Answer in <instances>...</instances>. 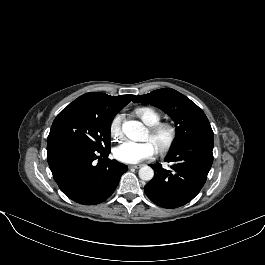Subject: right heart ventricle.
Instances as JSON below:
<instances>
[{"mask_svg": "<svg viewBox=\"0 0 265 265\" xmlns=\"http://www.w3.org/2000/svg\"><path fill=\"white\" fill-rule=\"evenodd\" d=\"M138 117L147 125L154 126L161 120V114L151 107H138L135 110Z\"/></svg>", "mask_w": 265, "mask_h": 265, "instance_id": "e07e8e85", "label": "right heart ventricle"}]
</instances>
